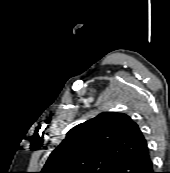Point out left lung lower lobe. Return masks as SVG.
<instances>
[{"instance_id":"obj_1","label":"left lung lower lobe","mask_w":170,"mask_h":173,"mask_svg":"<svg viewBox=\"0 0 170 173\" xmlns=\"http://www.w3.org/2000/svg\"><path fill=\"white\" fill-rule=\"evenodd\" d=\"M114 173H154L148 148L123 162Z\"/></svg>"}]
</instances>
